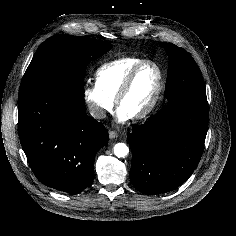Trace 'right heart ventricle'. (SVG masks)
<instances>
[{
	"mask_svg": "<svg viewBox=\"0 0 236 236\" xmlns=\"http://www.w3.org/2000/svg\"><path fill=\"white\" fill-rule=\"evenodd\" d=\"M144 60L140 57H123L105 63L96 71V84L108 97L115 100L127 74Z\"/></svg>",
	"mask_w": 236,
	"mask_h": 236,
	"instance_id": "e07e8e85",
	"label": "right heart ventricle"
}]
</instances>
